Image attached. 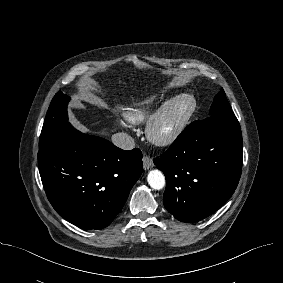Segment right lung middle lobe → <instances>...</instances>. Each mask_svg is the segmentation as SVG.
Returning a JSON list of instances; mask_svg holds the SVG:
<instances>
[{
  "label": "right lung middle lobe",
  "mask_w": 283,
  "mask_h": 283,
  "mask_svg": "<svg viewBox=\"0 0 283 283\" xmlns=\"http://www.w3.org/2000/svg\"><path fill=\"white\" fill-rule=\"evenodd\" d=\"M68 101L69 97L60 93L56 94L52 99L40 135V149L49 146L56 134L69 124L67 122Z\"/></svg>",
  "instance_id": "dd1d6c3e"
}]
</instances>
